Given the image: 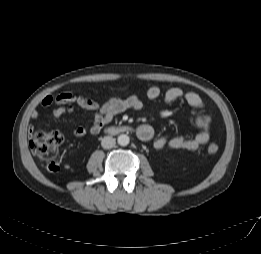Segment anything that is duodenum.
<instances>
[{
    "instance_id": "obj_1",
    "label": "duodenum",
    "mask_w": 261,
    "mask_h": 254,
    "mask_svg": "<svg viewBox=\"0 0 261 254\" xmlns=\"http://www.w3.org/2000/svg\"><path fill=\"white\" fill-rule=\"evenodd\" d=\"M130 130V128L129 127H115V126H109L108 128H107V131L109 132V133H116V132H118V131H129Z\"/></svg>"
}]
</instances>
